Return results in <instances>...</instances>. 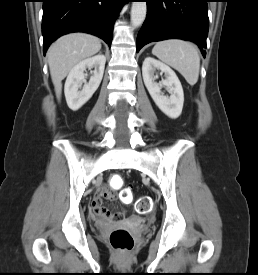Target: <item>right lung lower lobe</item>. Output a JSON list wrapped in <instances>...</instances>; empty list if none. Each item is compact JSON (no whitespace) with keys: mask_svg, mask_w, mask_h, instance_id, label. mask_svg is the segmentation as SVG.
I'll list each match as a JSON object with an SVG mask.
<instances>
[{"mask_svg":"<svg viewBox=\"0 0 258 275\" xmlns=\"http://www.w3.org/2000/svg\"><path fill=\"white\" fill-rule=\"evenodd\" d=\"M43 50L60 36L86 32L111 46L113 25L120 8L128 0H42Z\"/></svg>","mask_w":258,"mask_h":275,"instance_id":"right-lung-lower-lobe-1","label":"right lung lower lobe"}]
</instances>
